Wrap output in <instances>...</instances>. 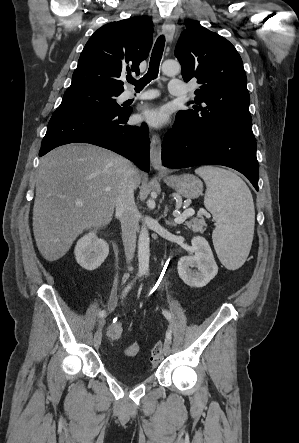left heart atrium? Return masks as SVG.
I'll return each mask as SVG.
<instances>
[{
	"label": "left heart atrium",
	"instance_id": "1",
	"mask_svg": "<svg viewBox=\"0 0 299 443\" xmlns=\"http://www.w3.org/2000/svg\"><path fill=\"white\" fill-rule=\"evenodd\" d=\"M138 120L154 128L163 127L168 121V113L164 108H150L138 115Z\"/></svg>",
	"mask_w": 299,
	"mask_h": 443
}]
</instances>
